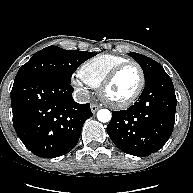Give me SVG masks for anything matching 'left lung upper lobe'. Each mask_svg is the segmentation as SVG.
<instances>
[{"instance_id": "1", "label": "left lung upper lobe", "mask_w": 193, "mask_h": 193, "mask_svg": "<svg viewBox=\"0 0 193 193\" xmlns=\"http://www.w3.org/2000/svg\"><path fill=\"white\" fill-rule=\"evenodd\" d=\"M129 55L135 59L138 64L141 66L145 76V83L150 80L155 74L160 71H163V67L153 59L144 56L142 54L131 52Z\"/></svg>"}]
</instances>
